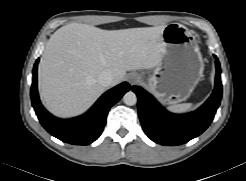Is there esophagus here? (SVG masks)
I'll list each match as a JSON object with an SVG mask.
<instances>
[{
    "mask_svg": "<svg viewBox=\"0 0 246 181\" xmlns=\"http://www.w3.org/2000/svg\"><path fill=\"white\" fill-rule=\"evenodd\" d=\"M128 81H129V83L131 85H134V84H136L139 81V78H138L137 75L131 74V75L128 76Z\"/></svg>",
    "mask_w": 246,
    "mask_h": 181,
    "instance_id": "1",
    "label": "esophagus"
}]
</instances>
